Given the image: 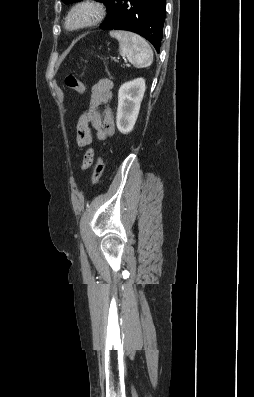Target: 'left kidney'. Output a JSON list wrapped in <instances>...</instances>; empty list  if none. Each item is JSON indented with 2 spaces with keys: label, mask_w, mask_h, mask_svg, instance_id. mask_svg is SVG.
Wrapping results in <instances>:
<instances>
[{
  "label": "left kidney",
  "mask_w": 254,
  "mask_h": 397,
  "mask_svg": "<svg viewBox=\"0 0 254 397\" xmlns=\"http://www.w3.org/2000/svg\"><path fill=\"white\" fill-rule=\"evenodd\" d=\"M145 92V80L137 78L121 85L118 91L116 125L122 134L134 128Z\"/></svg>",
  "instance_id": "1"
}]
</instances>
